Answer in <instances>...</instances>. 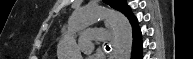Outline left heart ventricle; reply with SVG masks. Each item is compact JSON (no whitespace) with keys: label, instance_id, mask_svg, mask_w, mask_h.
Segmentation results:
<instances>
[{"label":"left heart ventricle","instance_id":"left-heart-ventricle-1","mask_svg":"<svg viewBox=\"0 0 193 59\" xmlns=\"http://www.w3.org/2000/svg\"><path fill=\"white\" fill-rule=\"evenodd\" d=\"M81 53H83V54H86L87 53V50H81Z\"/></svg>","mask_w":193,"mask_h":59}]
</instances>
